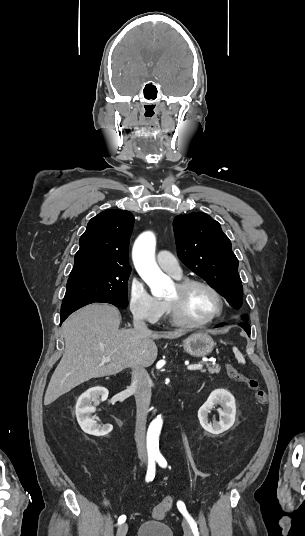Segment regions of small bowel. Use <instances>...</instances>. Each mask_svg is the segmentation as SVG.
<instances>
[{
  "mask_svg": "<svg viewBox=\"0 0 305 536\" xmlns=\"http://www.w3.org/2000/svg\"><path fill=\"white\" fill-rule=\"evenodd\" d=\"M102 502H103V505H105V506H109V501H108V500H106V499H103V501H102Z\"/></svg>",
  "mask_w": 305,
  "mask_h": 536,
  "instance_id": "obj_1",
  "label": "small bowel"
}]
</instances>
